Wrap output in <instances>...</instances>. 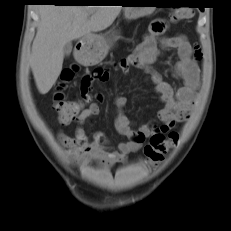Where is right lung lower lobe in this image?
<instances>
[{"instance_id": "98d812e1", "label": "right lung lower lobe", "mask_w": 231, "mask_h": 231, "mask_svg": "<svg viewBox=\"0 0 231 231\" xmlns=\"http://www.w3.org/2000/svg\"><path fill=\"white\" fill-rule=\"evenodd\" d=\"M40 3H54L56 5H76L77 3L74 0H36Z\"/></svg>"}]
</instances>
